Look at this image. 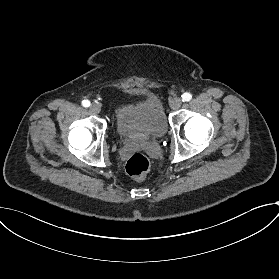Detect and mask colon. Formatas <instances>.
<instances>
[{"instance_id":"obj_1","label":"colon","mask_w":279,"mask_h":279,"mask_svg":"<svg viewBox=\"0 0 279 279\" xmlns=\"http://www.w3.org/2000/svg\"><path fill=\"white\" fill-rule=\"evenodd\" d=\"M149 158L141 153L133 154L126 162V172L134 177L142 178L150 169Z\"/></svg>"}]
</instances>
